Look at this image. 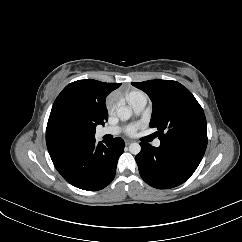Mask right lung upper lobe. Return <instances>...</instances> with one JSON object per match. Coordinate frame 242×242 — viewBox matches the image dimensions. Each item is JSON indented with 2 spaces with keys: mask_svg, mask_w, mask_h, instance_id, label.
Masks as SVG:
<instances>
[{
  "mask_svg": "<svg viewBox=\"0 0 242 242\" xmlns=\"http://www.w3.org/2000/svg\"><path fill=\"white\" fill-rule=\"evenodd\" d=\"M121 83L78 80L56 98L46 129V144L53 158L85 141L95 139V129L108 120L106 96Z\"/></svg>",
  "mask_w": 242,
  "mask_h": 242,
  "instance_id": "1",
  "label": "right lung upper lobe"
}]
</instances>
